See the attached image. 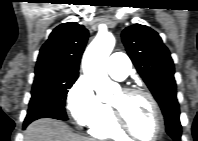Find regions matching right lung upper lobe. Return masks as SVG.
Wrapping results in <instances>:
<instances>
[{"instance_id": "right-lung-upper-lobe-1", "label": "right lung upper lobe", "mask_w": 198, "mask_h": 141, "mask_svg": "<svg viewBox=\"0 0 198 141\" xmlns=\"http://www.w3.org/2000/svg\"><path fill=\"white\" fill-rule=\"evenodd\" d=\"M88 30L76 22L63 23L40 49L35 74L78 75Z\"/></svg>"}]
</instances>
